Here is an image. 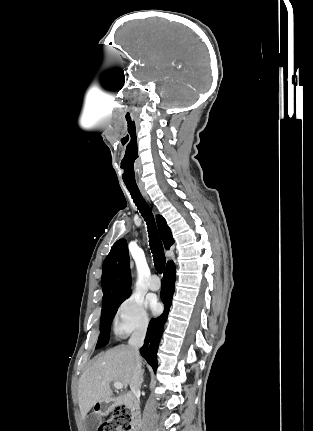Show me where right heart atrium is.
I'll return each instance as SVG.
<instances>
[{
    "instance_id": "right-heart-atrium-1",
    "label": "right heart atrium",
    "mask_w": 313,
    "mask_h": 431,
    "mask_svg": "<svg viewBox=\"0 0 313 431\" xmlns=\"http://www.w3.org/2000/svg\"><path fill=\"white\" fill-rule=\"evenodd\" d=\"M150 318L143 300L129 296L118 307L114 318V329L119 335L145 332Z\"/></svg>"
}]
</instances>
